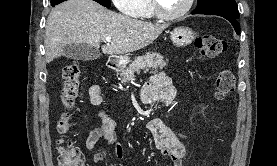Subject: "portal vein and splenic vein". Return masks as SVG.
<instances>
[{
  "label": "portal vein and splenic vein",
  "instance_id": "portal-vein-and-splenic-vein-1",
  "mask_svg": "<svg viewBox=\"0 0 277 166\" xmlns=\"http://www.w3.org/2000/svg\"><path fill=\"white\" fill-rule=\"evenodd\" d=\"M105 40L109 43L111 42V37H106Z\"/></svg>",
  "mask_w": 277,
  "mask_h": 166
}]
</instances>
